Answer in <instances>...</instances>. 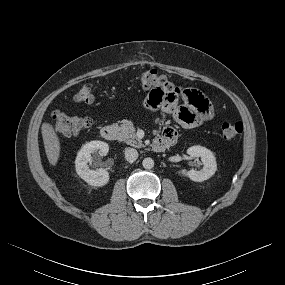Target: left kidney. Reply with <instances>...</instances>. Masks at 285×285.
I'll use <instances>...</instances> for the list:
<instances>
[{
  "mask_svg": "<svg viewBox=\"0 0 285 285\" xmlns=\"http://www.w3.org/2000/svg\"><path fill=\"white\" fill-rule=\"evenodd\" d=\"M187 154H189L191 157H200L203 163V168L199 171L194 169L187 171L183 169L179 171V174L187 176L195 182H202L215 174L217 170V163L212 151L203 146L197 145L188 148Z\"/></svg>",
  "mask_w": 285,
  "mask_h": 285,
  "instance_id": "1",
  "label": "left kidney"
}]
</instances>
